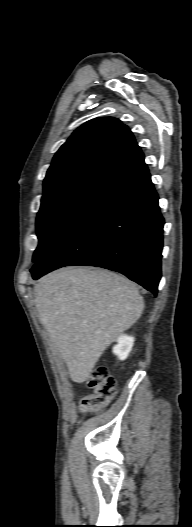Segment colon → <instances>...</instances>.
I'll use <instances>...</instances> for the list:
<instances>
[{
  "label": "colon",
  "mask_w": 192,
  "mask_h": 527,
  "mask_svg": "<svg viewBox=\"0 0 192 527\" xmlns=\"http://www.w3.org/2000/svg\"><path fill=\"white\" fill-rule=\"evenodd\" d=\"M91 393L81 400L80 408L84 413H94L106 407L114 398L116 390L115 378L107 367L95 366L86 380Z\"/></svg>",
  "instance_id": "1"
}]
</instances>
